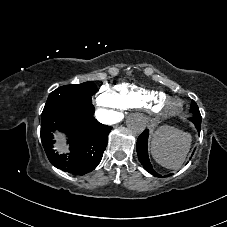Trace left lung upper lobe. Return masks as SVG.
Segmentation results:
<instances>
[{
  "label": "left lung upper lobe",
  "mask_w": 227,
  "mask_h": 227,
  "mask_svg": "<svg viewBox=\"0 0 227 227\" xmlns=\"http://www.w3.org/2000/svg\"><path fill=\"white\" fill-rule=\"evenodd\" d=\"M190 112L193 114V117L189 118V120L200 124L201 123V114H200L197 104L193 100L191 102Z\"/></svg>",
  "instance_id": "5c2ea615"
}]
</instances>
